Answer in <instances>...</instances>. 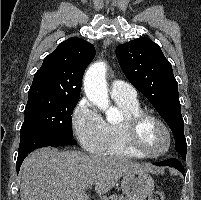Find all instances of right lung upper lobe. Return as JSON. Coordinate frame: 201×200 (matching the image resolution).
I'll list each match as a JSON object with an SVG mask.
<instances>
[{
    "mask_svg": "<svg viewBox=\"0 0 201 200\" xmlns=\"http://www.w3.org/2000/svg\"><path fill=\"white\" fill-rule=\"evenodd\" d=\"M94 56L95 48L89 42L77 37L67 39L44 58L28 93L80 98L82 77Z\"/></svg>",
    "mask_w": 201,
    "mask_h": 200,
    "instance_id": "obj_1",
    "label": "right lung upper lobe"
}]
</instances>
